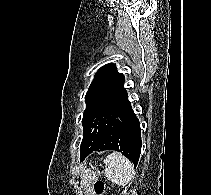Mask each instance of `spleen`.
I'll list each match as a JSON object with an SVG mask.
<instances>
[{
    "label": "spleen",
    "instance_id": "3e777b00",
    "mask_svg": "<svg viewBox=\"0 0 211 195\" xmlns=\"http://www.w3.org/2000/svg\"><path fill=\"white\" fill-rule=\"evenodd\" d=\"M105 175L115 184L125 186L134 177L135 171L133 164L122 154L111 153L105 159Z\"/></svg>",
    "mask_w": 211,
    "mask_h": 195
}]
</instances>
